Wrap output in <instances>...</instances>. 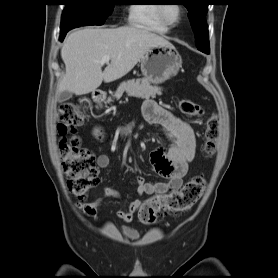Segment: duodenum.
I'll use <instances>...</instances> for the list:
<instances>
[{
  "instance_id": "duodenum-1",
  "label": "duodenum",
  "mask_w": 278,
  "mask_h": 278,
  "mask_svg": "<svg viewBox=\"0 0 278 278\" xmlns=\"http://www.w3.org/2000/svg\"><path fill=\"white\" fill-rule=\"evenodd\" d=\"M105 98V92L101 91V90H96L93 93V101L95 103H101ZM96 133H98V131H96Z\"/></svg>"
}]
</instances>
